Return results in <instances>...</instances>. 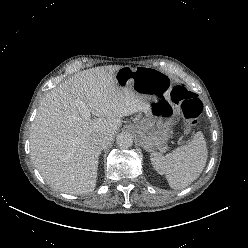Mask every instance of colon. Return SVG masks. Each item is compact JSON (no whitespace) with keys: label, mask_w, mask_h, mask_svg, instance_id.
<instances>
[{"label":"colon","mask_w":248,"mask_h":248,"mask_svg":"<svg viewBox=\"0 0 248 248\" xmlns=\"http://www.w3.org/2000/svg\"><path fill=\"white\" fill-rule=\"evenodd\" d=\"M171 97L175 103L181 105L187 131H191L202 111V103L197 96L184 85L175 86L171 92Z\"/></svg>","instance_id":"colon-1"}]
</instances>
